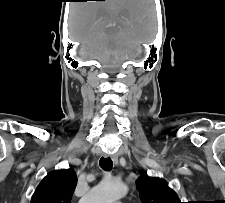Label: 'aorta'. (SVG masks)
I'll return each mask as SVG.
<instances>
[{
    "instance_id": "aorta-1",
    "label": "aorta",
    "mask_w": 225,
    "mask_h": 203,
    "mask_svg": "<svg viewBox=\"0 0 225 203\" xmlns=\"http://www.w3.org/2000/svg\"><path fill=\"white\" fill-rule=\"evenodd\" d=\"M127 193V187L114 179L104 180L82 197L79 203H114Z\"/></svg>"
}]
</instances>
